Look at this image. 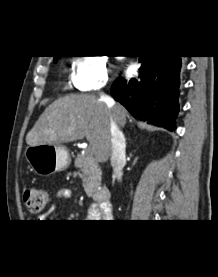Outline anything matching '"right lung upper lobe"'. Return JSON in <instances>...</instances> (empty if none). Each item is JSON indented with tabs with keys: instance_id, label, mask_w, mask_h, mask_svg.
I'll list each match as a JSON object with an SVG mask.
<instances>
[{
	"instance_id": "right-lung-upper-lobe-1",
	"label": "right lung upper lobe",
	"mask_w": 218,
	"mask_h": 277,
	"mask_svg": "<svg viewBox=\"0 0 218 277\" xmlns=\"http://www.w3.org/2000/svg\"><path fill=\"white\" fill-rule=\"evenodd\" d=\"M60 56H54V59L59 58Z\"/></svg>"
}]
</instances>
